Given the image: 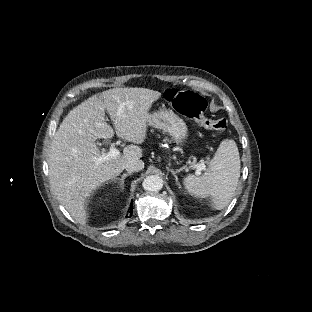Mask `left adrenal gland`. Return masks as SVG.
I'll list each match as a JSON object with an SVG mask.
<instances>
[{
    "mask_svg": "<svg viewBox=\"0 0 312 312\" xmlns=\"http://www.w3.org/2000/svg\"><path fill=\"white\" fill-rule=\"evenodd\" d=\"M170 172L173 174V176L175 177V180H176V184L179 186V188H181V185L178 181V176L176 175L177 172H175L174 170L170 169Z\"/></svg>",
    "mask_w": 312,
    "mask_h": 312,
    "instance_id": "obj_1",
    "label": "left adrenal gland"
}]
</instances>
